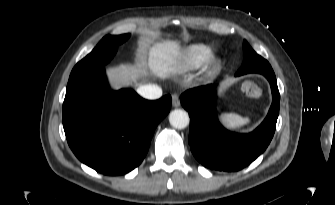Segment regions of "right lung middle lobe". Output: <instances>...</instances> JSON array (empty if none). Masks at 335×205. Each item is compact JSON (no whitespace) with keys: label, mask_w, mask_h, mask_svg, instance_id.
Listing matches in <instances>:
<instances>
[{"label":"right lung middle lobe","mask_w":335,"mask_h":205,"mask_svg":"<svg viewBox=\"0 0 335 205\" xmlns=\"http://www.w3.org/2000/svg\"><path fill=\"white\" fill-rule=\"evenodd\" d=\"M129 37L130 34L105 36L91 53L76 64L70 74L69 81L86 72L106 65L115 55L117 46L125 42Z\"/></svg>","instance_id":"obj_1"}]
</instances>
